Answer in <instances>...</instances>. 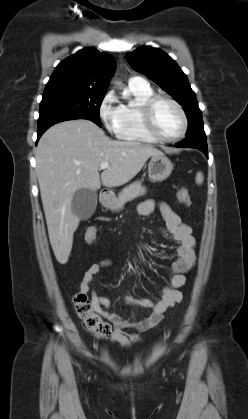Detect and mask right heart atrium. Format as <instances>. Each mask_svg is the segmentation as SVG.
Wrapping results in <instances>:
<instances>
[{
	"label": "right heart atrium",
	"instance_id": "1",
	"mask_svg": "<svg viewBox=\"0 0 248 419\" xmlns=\"http://www.w3.org/2000/svg\"><path fill=\"white\" fill-rule=\"evenodd\" d=\"M99 117L105 128L117 135L121 123V110L113 91H108L102 98Z\"/></svg>",
	"mask_w": 248,
	"mask_h": 419
}]
</instances>
